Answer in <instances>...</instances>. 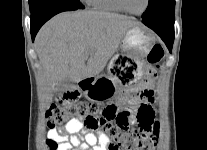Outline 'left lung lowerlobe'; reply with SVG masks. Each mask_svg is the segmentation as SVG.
Here are the masks:
<instances>
[{"label":"left lung lower lobe","mask_w":207,"mask_h":150,"mask_svg":"<svg viewBox=\"0 0 207 150\" xmlns=\"http://www.w3.org/2000/svg\"><path fill=\"white\" fill-rule=\"evenodd\" d=\"M174 20V9L158 17L142 18V22L161 37L170 52L174 41Z\"/></svg>","instance_id":"obj_1"}]
</instances>
